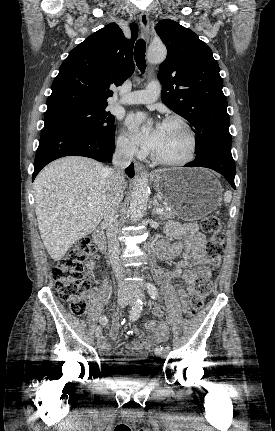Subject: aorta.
<instances>
[{"label": "aorta", "instance_id": "762f6f07", "mask_svg": "<svg viewBox=\"0 0 275 431\" xmlns=\"http://www.w3.org/2000/svg\"><path fill=\"white\" fill-rule=\"evenodd\" d=\"M166 55L167 51L163 45L151 46L148 49V61L152 64L163 62ZM149 193L148 179L146 177L138 178L134 184L130 203V216L134 222L143 217L147 208Z\"/></svg>", "mask_w": 275, "mask_h": 431}]
</instances>
